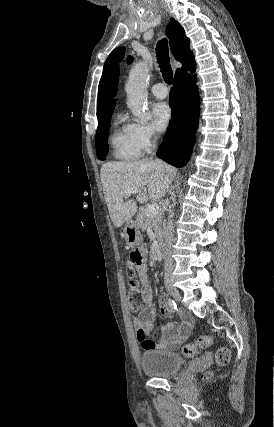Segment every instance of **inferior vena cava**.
Masks as SVG:
<instances>
[{
  "label": "inferior vena cava",
  "instance_id": "inferior-vena-cava-1",
  "mask_svg": "<svg viewBox=\"0 0 274 427\" xmlns=\"http://www.w3.org/2000/svg\"><path fill=\"white\" fill-rule=\"evenodd\" d=\"M173 239H174V227H173V221L169 219L165 233H164V251H170L172 245H173ZM165 265H172V259H169L168 255H165Z\"/></svg>",
  "mask_w": 274,
  "mask_h": 427
}]
</instances>
